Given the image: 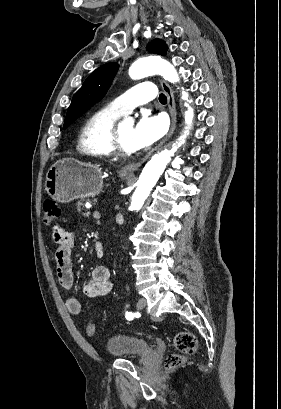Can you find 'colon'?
Returning <instances> with one entry per match:
<instances>
[{
	"label": "colon",
	"mask_w": 281,
	"mask_h": 409,
	"mask_svg": "<svg viewBox=\"0 0 281 409\" xmlns=\"http://www.w3.org/2000/svg\"><path fill=\"white\" fill-rule=\"evenodd\" d=\"M43 216L44 223L51 224L59 220L61 216V208L53 199H46L43 202ZM89 335H93L95 327L90 324L87 328ZM173 346L180 353L192 354L196 351V339L195 336L188 331H183L176 334L173 338ZM184 358L180 355H172L167 359V364L171 367H177L183 362Z\"/></svg>",
	"instance_id": "obj_1"
}]
</instances>
